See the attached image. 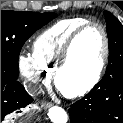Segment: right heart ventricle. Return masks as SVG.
Masks as SVG:
<instances>
[{"instance_id": "obj_1", "label": "right heart ventricle", "mask_w": 123, "mask_h": 123, "mask_svg": "<svg viewBox=\"0 0 123 123\" xmlns=\"http://www.w3.org/2000/svg\"><path fill=\"white\" fill-rule=\"evenodd\" d=\"M89 20L74 17L60 20L44 30L33 43V55L47 70L53 71L70 35Z\"/></svg>"}]
</instances>
